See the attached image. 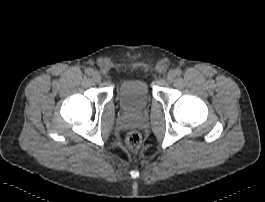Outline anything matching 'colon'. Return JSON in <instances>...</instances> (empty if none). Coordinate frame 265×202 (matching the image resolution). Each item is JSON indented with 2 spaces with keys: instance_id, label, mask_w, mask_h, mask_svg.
I'll return each instance as SVG.
<instances>
[{
  "instance_id": "1",
  "label": "colon",
  "mask_w": 265,
  "mask_h": 202,
  "mask_svg": "<svg viewBox=\"0 0 265 202\" xmlns=\"http://www.w3.org/2000/svg\"><path fill=\"white\" fill-rule=\"evenodd\" d=\"M142 144V136L139 132L133 131L127 135L126 145L130 151H137Z\"/></svg>"
}]
</instances>
